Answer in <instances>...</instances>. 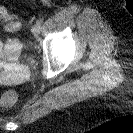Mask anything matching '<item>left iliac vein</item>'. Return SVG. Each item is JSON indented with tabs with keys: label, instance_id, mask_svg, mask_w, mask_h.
Segmentation results:
<instances>
[{
	"label": "left iliac vein",
	"instance_id": "4c4485c4",
	"mask_svg": "<svg viewBox=\"0 0 133 133\" xmlns=\"http://www.w3.org/2000/svg\"><path fill=\"white\" fill-rule=\"evenodd\" d=\"M40 30H41V25L38 24V23H35L31 29L32 33L34 35H38L40 33Z\"/></svg>",
	"mask_w": 133,
	"mask_h": 133
}]
</instances>
